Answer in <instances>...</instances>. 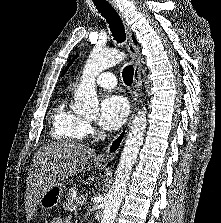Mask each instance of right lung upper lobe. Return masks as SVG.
<instances>
[{
  "label": "right lung upper lobe",
  "mask_w": 221,
  "mask_h": 223,
  "mask_svg": "<svg viewBox=\"0 0 221 223\" xmlns=\"http://www.w3.org/2000/svg\"><path fill=\"white\" fill-rule=\"evenodd\" d=\"M134 42L136 43V39L133 37Z\"/></svg>",
  "instance_id": "cb5924a9"
}]
</instances>
